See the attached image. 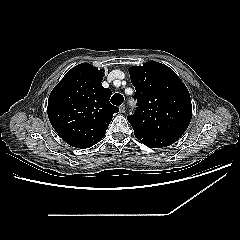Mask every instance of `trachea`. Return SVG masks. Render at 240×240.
I'll return each instance as SVG.
<instances>
[{
	"mask_svg": "<svg viewBox=\"0 0 240 240\" xmlns=\"http://www.w3.org/2000/svg\"><path fill=\"white\" fill-rule=\"evenodd\" d=\"M123 101H124V97L119 93L114 94L111 98V103L116 106L121 105Z\"/></svg>",
	"mask_w": 240,
	"mask_h": 240,
	"instance_id": "trachea-1",
	"label": "trachea"
}]
</instances>
